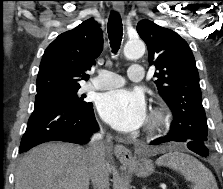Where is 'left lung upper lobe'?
<instances>
[{
	"mask_svg": "<svg viewBox=\"0 0 223 189\" xmlns=\"http://www.w3.org/2000/svg\"><path fill=\"white\" fill-rule=\"evenodd\" d=\"M137 32L148 47L149 64L156 67L159 93L174 115L167 137L208 145L199 74L187 42L171 29L147 19L138 23Z\"/></svg>",
	"mask_w": 223,
	"mask_h": 189,
	"instance_id": "obj_1",
	"label": "left lung upper lobe"
}]
</instances>
